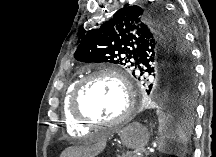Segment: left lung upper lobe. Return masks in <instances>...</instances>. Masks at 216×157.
Returning <instances> with one entry per match:
<instances>
[{"instance_id": "1", "label": "left lung upper lobe", "mask_w": 216, "mask_h": 157, "mask_svg": "<svg viewBox=\"0 0 216 157\" xmlns=\"http://www.w3.org/2000/svg\"><path fill=\"white\" fill-rule=\"evenodd\" d=\"M74 57L81 62L123 65L132 68L134 76L136 70L140 75L148 73L166 94L194 106L190 51L174 18L151 2L119 9L109 21L83 35Z\"/></svg>"}]
</instances>
